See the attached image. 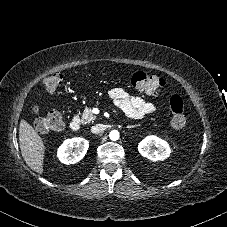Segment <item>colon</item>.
Masks as SVG:
<instances>
[{"instance_id": "5ec220e1", "label": "colon", "mask_w": 227, "mask_h": 227, "mask_svg": "<svg viewBox=\"0 0 227 227\" xmlns=\"http://www.w3.org/2000/svg\"><path fill=\"white\" fill-rule=\"evenodd\" d=\"M128 77L131 85L146 94H157L164 86V79L142 71L130 72ZM62 84V75L54 73L46 77L43 86L49 93H55ZM172 113L171 125L175 129H183L187 124V117L182 99L173 95L169 101ZM37 131L42 133L56 132L63 127V118L59 110H51L48 114L35 122Z\"/></svg>"}]
</instances>
